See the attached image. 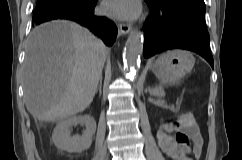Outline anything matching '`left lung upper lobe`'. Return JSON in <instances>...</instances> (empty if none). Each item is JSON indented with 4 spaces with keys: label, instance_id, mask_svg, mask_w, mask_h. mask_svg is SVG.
<instances>
[{
    "label": "left lung upper lobe",
    "instance_id": "5c2ea615",
    "mask_svg": "<svg viewBox=\"0 0 242 160\" xmlns=\"http://www.w3.org/2000/svg\"><path fill=\"white\" fill-rule=\"evenodd\" d=\"M153 4L172 12L195 11L205 13L204 0H148Z\"/></svg>",
    "mask_w": 242,
    "mask_h": 160
}]
</instances>
